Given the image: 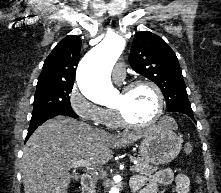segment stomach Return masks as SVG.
Returning a JSON list of instances; mask_svg holds the SVG:
<instances>
[{"label": "stomach", "instance_id": "1", "mask_svg": "<svg viewBox=\"0 0 221 193\" xmlns=\"http://www.w3.org/2000/svg\"><path fill=\"white\" fill-rule=\"evenodd\" d=\"M182 139L161 120L144 136L140 144V156L154 165L172 161L180 152Z\"/></svg>", "mask_w": 221, "mask_h": 193}]
</instances>
